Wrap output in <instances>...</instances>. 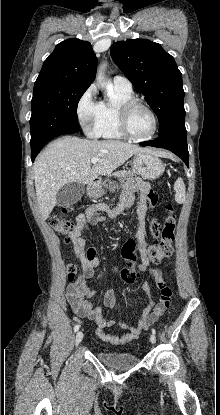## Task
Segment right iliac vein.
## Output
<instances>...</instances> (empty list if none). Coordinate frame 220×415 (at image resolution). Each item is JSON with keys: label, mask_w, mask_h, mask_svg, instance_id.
<instances>
[{"label": "right iliac vein", "mask_w": 220, "mask_h": 415, "mask_svg": "<svg viewBox=\"0 0 220 415\" xmlns=\"http://www.w3.org/2000/svg\"><path fill=\"white\" fill-rule=\"evenodd\" d=\"M83 336L84 335L82 331L77 332L75 339L76 345H79L81 343V341L83 340Z\"/></svg>", "instance_id": "obj_1"}]
</instances>
